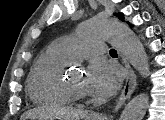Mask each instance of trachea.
I'll return each instance as SVG.
<instances>
[{
  "label": "trachea",
  "mask_w": 165,
  "mask_h": 120,
  "mask_svg": "<svg viewBox=\"0 0 165 120\" xmlns=\"http://www.w3.org/2000/svg\"><path fill=\"white\" fill-rule=\"evenodd\" d=\"M110 55H117V51L115 49L110 50Z\"/></svg>",
  "instance_id": "trachea-1"
}]
</instances>
